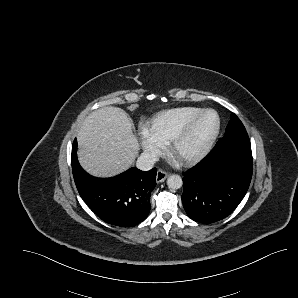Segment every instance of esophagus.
<instances>
[{
  "label": "esophagus",
  "mask_w": 298,
  "mask_h": 298,
  "mask_svg": "<svg viewBox=\"0 0 298 298\" xmlns=\"http://www.w3.org/2000/svg\"><path fill=\"white\" fill-rule=\"evenodd\" d=\"M167 177V173L161 169H159L157 171V175H156V182L157 183H160V182H163Z\"/></svg>",
  "instance_id": "1"
}]
</instances>
